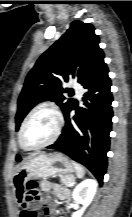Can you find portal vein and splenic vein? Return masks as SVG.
Masks as SVG:
<instances>
[{
  "mask_svg": "<svg viewBox=\"0 0 132 217\" xmlns=\"http://www.w3.org/2000/svg\"><path fill=\"white\" fill-rule=\"evenodd\" d=\"M74 183H70V186H73Z\"/></svg>",
  "mask_w": 132,
  "mask_h": 217,
  "instance_id": "18ae733b",
  "label": "portal vein and splenic vein"
}]
</instances>
